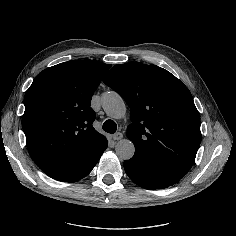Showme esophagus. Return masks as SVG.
<instances>
[{"label": "esophagus", "instance_id": "obj_1", "mask_svg": "<svg viewBox=\"0 0 236 236\" xmlns=\"http://www.w3.org/2000/svg\"><path fill=\"white\" fill-rule=\"evenodd\" d=\"M123 138V134L118 132L115 135H113V140H120Z\"/></svg>", "mask_w": 236, "mask_h": 236}]
</instances>
